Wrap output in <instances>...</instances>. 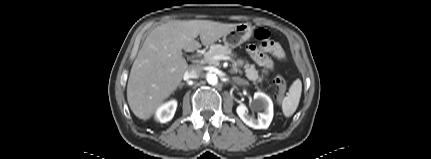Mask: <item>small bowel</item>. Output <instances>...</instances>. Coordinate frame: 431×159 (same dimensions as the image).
<instances>
[{"label":"small bowel","mask_w":431,"mask_h":159,"mask_svg":"<svg viewBox=\"0 0 431 159\" xmlns=\"http://www.w3.org/2000/svg\"><path fill=\"white\" fill-rule=\"evenodd\" d=\"M248 53L256 64L265 72L271 70L274 66L272 57L278 60L284 58V52L281 46L276 42H273L272 45H250L248 47Z\"/></svg>","instance_id":"obj_1"}]
</instances>
